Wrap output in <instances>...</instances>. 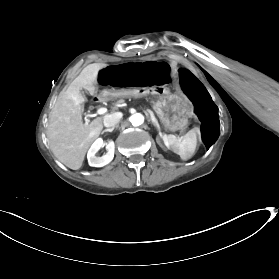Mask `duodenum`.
<instances>
[{
	"label": "duodenum",
	"mask_w": 279,
	"mask_h": 279,
	"mask_svg": "<svg viewBox=\"0 0 279 279\" xmlns=\"http://www.w3.org/2000/svg\"><path fill=\"white\" fill-rule=\"evenodd\" d=\"M150 94V91L148 89H142L138 93L134 92L132 93L131 91H124L122 92H107L104 91L102 92L99 96H92L90 98V105L92 107H99L101 105V101L104 99H122L124 98H131L133 97L134 99H137L138 97L140 99H144Z\"/></svg>",
	"instance_id": "410a0bca"
}]
</instances>
